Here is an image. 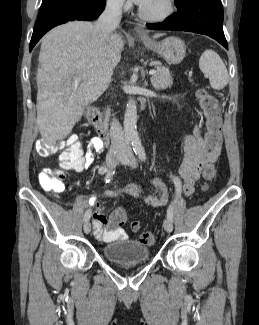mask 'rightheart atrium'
<instances>
[{
  "label": "right heart atrium",
  "mask_w": 259,
  "mask_h": 325,
  "mask_svg": "<svg viewBox=\"0 0 259 325\" xmlns=\"http://www.w3.org/2000/svg\"><path fill=\"white\" fill-rule=\"evenodd\" d=\"M107 6L115 11L123 10L128 7L127 0H106Z\"/></svg>",
  "instance_id": "1"
}]
</instances>
